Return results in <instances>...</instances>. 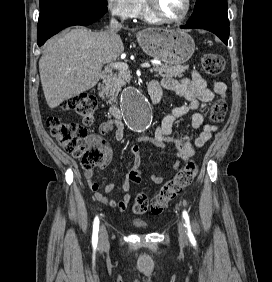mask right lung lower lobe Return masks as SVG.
<instances>
[{"label":"right lung lower lobe","instance_id":"98d812e1","mask_svg":"<svg viewBox=\"0 0 272 282\" xmlns=\"http://www.w3.org/2000/svg\"><path fill=\"white\" fill-rule=\"evenodd\" d=\"M107 10V6L90 3H59L42 9L37 26L38 45L66 27L97 21Z\"/></svg>","mask_w":272,"mask_h":282}]
</instances>
